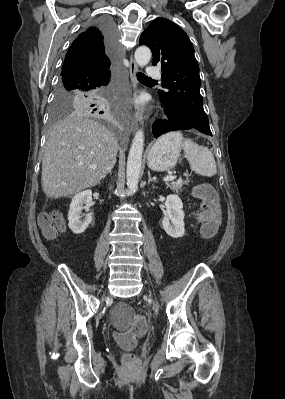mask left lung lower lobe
Returning <instances> with one entry per match:
<instances>
[{
	"mask_svg": "<svg viewBox=\"0 0 285 399\" xmlns=\"http://www.w3.org/2000/svg\"><path fill=\"white\" fill-rule=\"evenodd\" d=\"M161 104L164 106V112L167 116V120L156 122L152 126L153 135L155 138L160 135L176 130H191L199 131L190 121L185 118L176 117L174 111L170 108V105L162 100ZM201 132V131H200ZM212 136V134H207Z\"/></svg>",
	"mask_w": 285,
	"mask_h": 399,
	"instance_id": "0a47b994",
	"label": "left lung lower lobe"
}]
</instances>
